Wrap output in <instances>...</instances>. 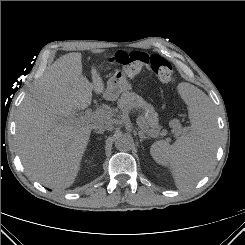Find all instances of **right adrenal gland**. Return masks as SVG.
<instances>
[{
  "label": "right adrenal gland",
  "mask_w": 245,
  "mask_h": 245,
  "mask_svg": "<svg viewBox=\"0 0 245 245\" xmlns=\"http://www.w3.org/2000/svg\"><path fill=\"white\" fill-rule=\"evenodd\" d=\"M95 134H103L104 133V129H100L98 131H94Z\"/></svg>",
  "instance_id": "2a0ac1e0"
}]
</instances>
